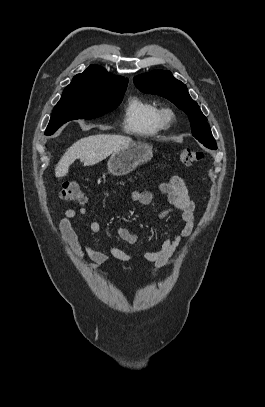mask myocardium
Returning a JSON list of instances; mask_svg holds the SVG:
<instances>
[{"label":"myocardium","instance_id":"1","mask_svg":"<svg viewBox=\"0 0 265 407\" xmlns=\"http://www.w3.org/2000/svg\"><path fill=\"white\" fill-rule=\"evenodd\" d=\"M159 118L162 127H168L173 122L175 113L171 108H163L160 110Z\"/></svg>","mask_w":265,"mask_h":407}]
</instances>
